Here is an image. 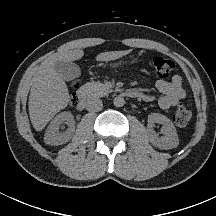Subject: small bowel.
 <instances>
[{
    "instance_id": "1",
    "label": "small bowel",
    "mask_w": 216,
    "mask_h": 216,
    "mask_svg": "<svg viewBox=\"0 0 216 216\" xmlns=\"http://www.w3.org/2000/svg\"><path fill=\"white\" fill-rule=\"evenodd\" d=\"M156 88L161 93L158 100L162 109H169L183 100L186 93L182 87V78L175 75L171 80L160 79L156 82ZM144 101H152L154 97L150 94L141 93Z\"/></svg>"
}]
</instances>
